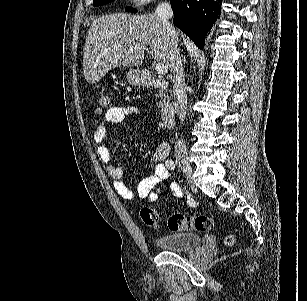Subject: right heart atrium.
Returning a JSON list of instances; mask_svg holds the SVG:
<instances>
[{"label": "right heart atrium", "instance_id": "right-heart-atrium-1", "mask_svg": "<svg viewBox=\"0 0 307 301\" xmlns=\"http://www.w3.org/2000/svg\"><path fill=\"white\" fill-rule=\"evenodd\" d=\"M137 4H144L145 0H136Z\"/></svg>", "mask_w": 307, "mask_h": 301}]
</instances>
